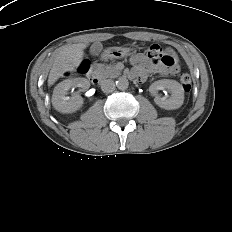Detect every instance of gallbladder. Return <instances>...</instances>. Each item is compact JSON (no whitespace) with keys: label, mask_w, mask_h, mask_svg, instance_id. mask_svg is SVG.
I'll use <instances>...</instances> for the list:
<instances>
[{"label":"gallbladder","mask_w":232,"mask_h":232,"mask_svg":"<svg viewBox=\"0 0 232 232\" xmlns=\"http://www.w3.org/2000/svg\"><path fill=\"white\" fill-rule=\"evenodd\" d=\"M102 50V45L100 43H94L91 47H90V53L92 55H98Z\"/></svg>","instance_id":"bac80fb5"}]
</instances>
